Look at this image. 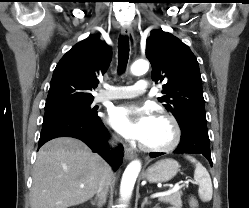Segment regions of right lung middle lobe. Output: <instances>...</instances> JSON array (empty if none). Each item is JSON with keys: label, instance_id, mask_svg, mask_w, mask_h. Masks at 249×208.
<instances>
[{"label": "right lung middle lobe", "instance_id": "right-lung-middle-lobe-1", "mask_svg": "<svg viewBox=\"0 0 249 208\" xmlns=\"http://www.w3.org/2000/svg\"><path fill=\"white\" fill-rule=\"evenodd\" d=\"M93 100L66 103L54 107L45 108V113L55 112L64 114H75L86 118H94L97 116L96 108H91Z\"/></svg>", "mask_w": 249, "mask_h": 208}]
</instances>
